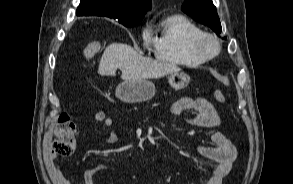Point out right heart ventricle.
Returning a JSON list of instances; mask_svg holds the SVG:
<instances>
[{
    "label": "right heart ventricle",
    "mask_w": 293,
    "mask_h": 184,
    "mask_svg": "<svg viewBox=\"0 0 293 184\" xmlns=\"http://www.w3.org/2000/svg\"><path fill=\"white\" fill-rule=\"evenodd\" d=\"M199 27L187 17L174 14L165 17L153 38V51L157 59L187 67L203 64L206 59L196 55L192 39L200 33Z\"/></svg>",
    "instance_id": "e07e8e85"
}]
</instances>
